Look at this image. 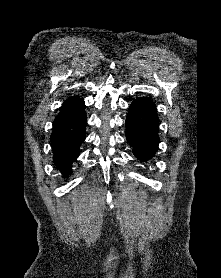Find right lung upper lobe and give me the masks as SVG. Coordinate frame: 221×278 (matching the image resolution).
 Listing matches in <instances>:
<instances>
[{
  "instance_id": "1",
  "label": "right lung upper lobe",
  "mask_w": 221,
  "mask_h": 278,
  "mask_svg": "<svg viewBox=\"0 0 221 278\" xmlns=\"http://www.w3.org/2000/svg\"><path fill=\"white\" fill-rule=\"evenodd\" d=\"M85 109L84 101L79 97L68 98L55 118L53 127L75 117Z\"/></svg>"
}]
</instances>
